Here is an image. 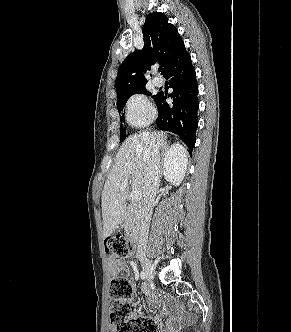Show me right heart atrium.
<instances>
[{"label": "right heart atrium", "instance_id": "right-heart-atrium-1", "mask_svg": "<svg viewBox=\"0 0 291 332\" xmlns=\"http://www.w3.org/2000/svg\"><path fill=\"white\" fill-rule=\"evenodd\" d=\"M155 116L149 100L142 94L133 95L126 104V119L134 127L148 125Z\"/></svg>", "mask_w": 291, "mask_h": 332}]
</instances>
